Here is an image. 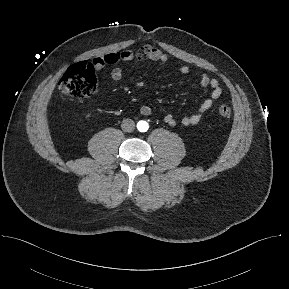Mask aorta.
I'll use <instances>...</instances> for the list:
<instances>
[{
	"instance_id": "1",
	"label": "aorta",
	"mask_w": 289,
	"mask_h": 289,
	"mask_svg": "<svg viewBox=\"0 0 289 289\" xmlns=\"http://www.w3.org/2000/svg\"><path fill=\"white\" fill-rule=\"evenodd\" d=\"M137 127H138V130H139V131L145 132V131L148 130V127H149V126H148V123H147V122H145V121H140V122H138Z\"/></svg>"
}]
</instances>
